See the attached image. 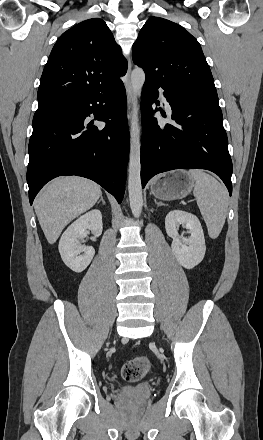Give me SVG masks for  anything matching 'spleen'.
Here are the masks:
<instances>
[{
    "mask_svg": "<svg viewBox=\"0 0 263 440\" xmlns=\"http://www.w3.org/2000/svg\"><path fill=\"white\" fill-rule=\"evenodd\" d=\"M188 175L195 181L193 194L212 239L219 236L226 220L229 195L226 187L203 170L193 169Z\"/></svg>",
    "mask_w": 263,
    "mask_h": 440,
    "instance_id": "3e777b00",
    "label": "spleen"
}]
</instances>
